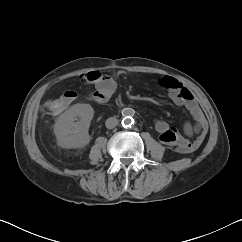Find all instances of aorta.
Instances as JSON below:
<instances>
[{
	"instance_id": "1",
	"label": "aorta",
	"mask_w": 242,
	"mask_h": 242,
	"mask_svg": "<svg viewBox=\"0 0 242 242\" xmlns=\"http://www.w3.org/2000/svg\"><path fill=\"white\" fill-rule=\"evenodd\" d=\"M135 111L132 108H125L122 111L123 119H122V126L127 128L130 127L134 123L133 116Z\"/></svg>"
}]
</instances>
